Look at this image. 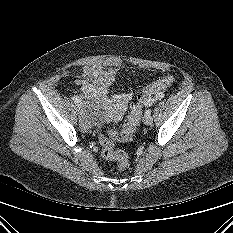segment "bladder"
<instances>
[{
	"mask_svg": "<svg viewBox=\"0 0 233 233\" xmlns=\"http://www.w3.org/2000/svg\"><path fill=\"white\" fill-rule=\"evenodd\" d=\"M81 106L89 126H99L107 119V112L102 100L97 96H82Z\"/></svg>",
	"mask_w": 233,
	"mask_h": 233,
	"instance_id": "31cf9c89",
	"label": "bladder"
}]
</instances>
